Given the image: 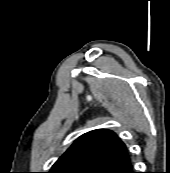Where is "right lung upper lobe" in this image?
I'll return each instance as SVG.
<instances>
[{
	"label": "right lung upper lobe",
	"instance_id": "1",
	"mask_svg": "<svg viewBox=\"0 0 170 173\" xmlns=\"http://www.w3.org/2000/svg\"><path fill=\"white\" fill-rule=\"evenodd\" d=\"M129 159L126 145L113 131L98 129L80 136L48 173H104Z\"/></svg>",
	"mask_w": 170,
	"mask_h": 173
}]
</instances>
